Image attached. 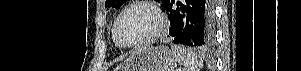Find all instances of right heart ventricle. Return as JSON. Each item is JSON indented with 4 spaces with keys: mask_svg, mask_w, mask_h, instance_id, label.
<instances>
[{
    "mask_svg": "<svg viewBox=\"0 0 301 71\" xmlns=\"http://www.w3.org/2000/svg\"><path fill=\"white\" fill-rule=\"evenodd\" d=\"M112 36H113V33H112ZM113 39H114V37H113ZM115 41V40H114ZM116 43V42H115ZM116 45H117V43H116ZM118 46V45H117Z\"/></svg>",
    "mask_w": 301,
    "mask_h": 71,
    "instance_id": "e07e8e85",
    "label": "right heart ventricle"
}]
</instances>
